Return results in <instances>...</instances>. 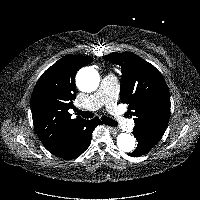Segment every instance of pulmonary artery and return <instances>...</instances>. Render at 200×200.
I'll list each match as a JSON object with an SVG mask.
<instances>
[{"label":"pulmonary artery","instance_id":"e3ab8cb5","mask_svg":"<svg viewBox=\"0 0 200 200\" xmlns=\"http://www.w3.org/2000/svg\"><path fill=\"white\" fill-rule=\"evenodd\" d=\"M119 93V81L111 74L105 75L100 83L98 91L91 95L81 107H90L92 109H98L102 106H106L109 111L114 110ZM117 120L122 121L120 116ZM124 124H132L131 120H124Z\"/></svg>","mask_w":200,"mask_h":200}]
</instances>
